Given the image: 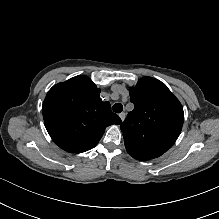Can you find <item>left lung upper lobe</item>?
I'll return each instance as SVG.
<instances>
[{
    "instance_id": "left-lung-upper-lobe-1",
    "label": "left lung upper lobe",
    "mask_w": 219,
    "mask_h": 219,
    "mask_svg": "<svg viewBox=\"0 0 219 219\" xmlns=\"http://www.w3.org/2000/svg\"><path fill=\"white\" fill-rule=\"evenodd\" d=\"M130 101L134 109L120 126L127 152L142 161L161 156L182 130L181 103L165 84L147 76L130 88Z\"/></svg>"
}]
</instances>
